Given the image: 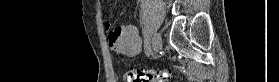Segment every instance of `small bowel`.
<instances>
[{"mask_svg":"<svg viewBox=\"0 0 279 82\" xmlns=\"http://www.w3.org/2000/svg\"><path fill=\"white\" fill-rule=\"evenodd\" d=\"M102 26L106 30L111 28L108 21H104ZM108 44L114 52L124 56H136L141 50V39L132 24L113 28L108 36Z\"/></svg>","mask_w":279,"mask_h":82,"instance_id":"obj_1","label":"small bowel"}]
</instances>
